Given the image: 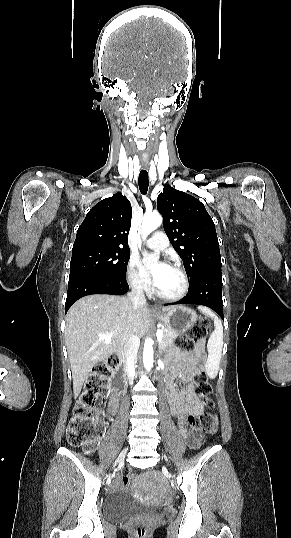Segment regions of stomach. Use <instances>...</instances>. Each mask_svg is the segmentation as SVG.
<instances>
[{
    "instance_id": "obj_1",
    "label": "stomach",
    "mask_w": 291,
    "mask_h": 538,
    "mask_svg": "<svg viewBox=\"0 0 291 538\" xmlns=\"http://www.w3.org/2000/svg\"><path fill=\"white\" fill-rule=\"evenodd\" d=\"M156 317L162 321L167 329L181 333L188 330L197 320L196 313L184 306H177L167 312L157 314Z\"/></svg>"
}]
</instances>
